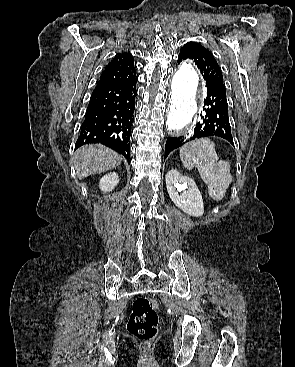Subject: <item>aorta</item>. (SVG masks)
Wrapping results in <instances>:
<instances>
[{
  "label": "aorta",
  "mask_w": 295,
  "mask_h": 367,
  "mask_svg": "<svg viewBox=\"0 0 295 367\" xmlns=\"http://www.w3.org/2000/svg\"><path fill=\"white\" fill-rule=\"evenodd\" d=\"M171 89L166 127L170 132L178 133L190 125L198 107L199 75L191 63L180 65L172 79Z\"/></svg>",
  "instance_id": "aorta-1"
}]
</instances>
